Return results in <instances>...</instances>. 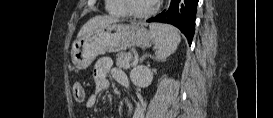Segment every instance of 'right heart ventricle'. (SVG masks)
I'll return each instance as SVG.
<instances>
[{
    "mask_svg": "<svg viewBox=\"0 0 273 118\" xmlns=\"http://www.w3.org/2000/svg\"><path fill=\"white\" fill-rule=\"evenodd\" d=\"M106 10L113 15H126L124 0H107Z\"/></svg>",
    "mask_w": 273,
    "mask_h": 118,
    "instance_id": "right-heart-ventricle-1",
    "label": "right heart ventricle"
}]
</instances>
